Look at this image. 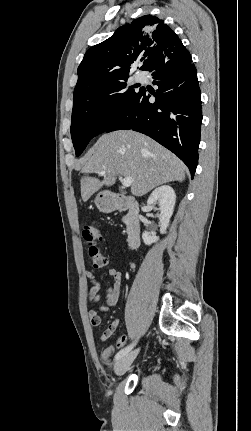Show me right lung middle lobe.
<instances>
[{
    "label": "right lung middle lobe",
    "instance_id": "right-lung-middle-lobe-1",
    "mask_svg": "<svg viewBox=\"0 0 251 431\" xmlns=\"http://www.w3.org/2000/svg\"><path fill=\"white\" fill-rule=\"evenodd\" d=\"M127 78L74 95L70 131L76 156L84 151L93 137L105 132L138 93L132 89L135 86L128 88Z\"/></svg>",
    "mask_w": 251,
    "mask_h": 431
}]
</instances>
